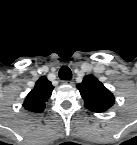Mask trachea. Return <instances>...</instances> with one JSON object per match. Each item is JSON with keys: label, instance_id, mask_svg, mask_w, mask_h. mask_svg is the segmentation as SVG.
Listing matches in <instances>:
<instances>
[{"label": "trachea", "instance_id": "1", "mask_svg": "<svg viewBox=\"0 0 137 145\" xmlns=\"http://www.w3.org/2000/svg\"><path fill=\"white\" fill-rule=\"evenodd\" d=\"M59 77L62 80H71V78H72V72H71V70L67 66H63L59 70Z\"/></svg>", "mask_w": 137, "mask_h": 145}]
</instances>
